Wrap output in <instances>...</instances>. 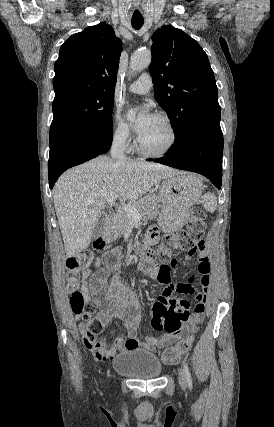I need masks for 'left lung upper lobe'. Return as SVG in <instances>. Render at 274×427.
<instances>
[{"label": "left lung upper lobe", "instance_id": "1", "mask_svg": "<svg viewBox=\"0 0 274 427\" xmlns=\"http://www.w3.org/2000/svg\"><path fill=\"white\" fill-rule=\"evenodd\" d=\"M150 73L155 98L167 112L179 148L199 130L220 128L218 90L206 53L189 35L170 25L152 36Z\"/></svg>", "mask_w": 274, "mask_h": 427}]
</instances>
